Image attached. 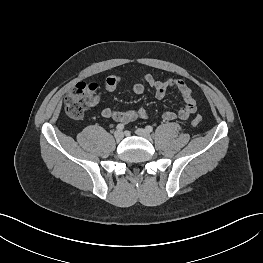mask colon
I'll return each instance as SVG.
<instances>
[{"label": "colon", "mask_w": 263, "mask_h": 263, "mask_svg": "<svg viewBox=\"0 0 263 263\" xmlns=\"http://www.w3.org/2000/svg\"><path fill=\"white\" fill-rule=\"evenodd\" d=\"M97 86L94 83L80 82L75 85L65 97V110L68 116L78 120L83 118L85 112L92 104ZM201 123V118L196 117L192 124L197 126Z\"/></svg>", "instance_id": "1"}]
</instances>
